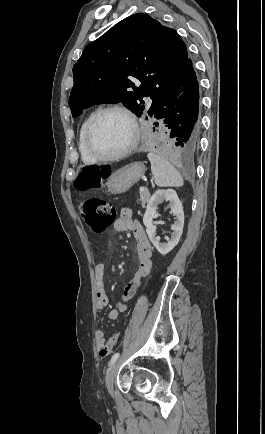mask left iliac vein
I'll return each mask as SVG.
<instances>
[{
	"mask_svg": "<svg viewBox=\"0 0 265 434\" xmlns=\"http://www.w3.org/2000/svg\"><path fill=\"white\" fill-rule=\"evenodd\" d=\"M118 370V362H115L112 367L109 369L106 377H105V384L108 393L112 396L113 395V382L116 376Z\"/></svg>",
	"mask_w": 265,
	"mask_h": 434,
	"instance_id": "1",
	"label": "left iliac vein"
}]
</instances>
